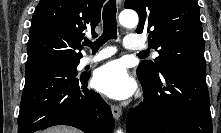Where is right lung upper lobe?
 Here are the masks:
<instances>
[{"label": "right lung upper lobe", "instance_id": "cb5924a9", "mask_svg": "<svg viewBox=\"0 0 221 133\" xmlns=\"http://www.w3.org/2000/svg\"><path fill=\"white\" fill-rule=\"evenodd\" d=\"M104 0H40L29 33L26 70L79 62L84 32L96 35Z\"/></svg>", "mask_w": 221, "mask_h": 133}]
</instances>
